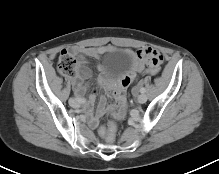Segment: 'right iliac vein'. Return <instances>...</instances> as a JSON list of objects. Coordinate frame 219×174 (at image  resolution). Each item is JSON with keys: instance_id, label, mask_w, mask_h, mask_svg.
I'll return each mask as SVG.
<instances>
[{"instance_id": "obj_1", "label": "right iliac vein", "mask_w": 219, "mask_h": 174, "mask_svg": "<svg viewBox=\"0 0 219 174\" xmlns=\"http://www.w3.org/2000/svg\"><path fill=\"white\" fill-rule=\"evenodd\" d=\"M69 104H70V106H72L73 108L79 107V102H78L76 99H74V98H70V99H69Z\"/></svg>"}]
</instances>
